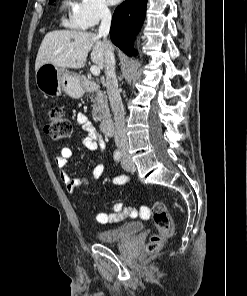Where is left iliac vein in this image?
I'll return each mask as SVG.
<instances>
[{
  "label": "left iliac vein",
  "mask_w": 247,
  "mask_h": 296,
  "mask_svg": "<svg viewBox=\"0 0 247 296\" xmlns=\"http://www.w3.org/2000/svg\"><path fill=\"white\" fill-rule=\"evenodd\" d=\"M122 167L129 172H135L136 167L131 159L125 158L122 160Z\"/></svg>",
  "instance_id": "obj_1"
}]
</instances>
